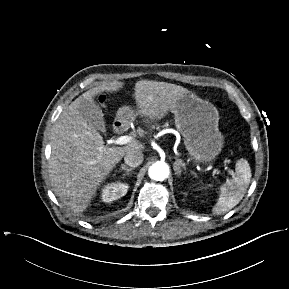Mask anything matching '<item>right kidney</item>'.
Listing matches in <instances>:
<instances>
[{"label":"right kidney","mask_w":289,"mask_h":289,"mask_svg":"<svg viewBox=\"0 0 289 289\" xmlns=\"http://www.w3.org/2000/svg\"><path fill=\"white\" fill-rule=\"evenodd\" d=\"M128 191V185L122 182L108 183L102 189L101 199L104 202H112L123 197Z\"/></svg>","instance_id":"right-kidney-1"}]
</instances>
